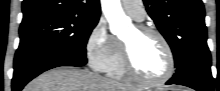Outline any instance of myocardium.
I'll return each mask as SVG.
<instances>
[{
    "instance_id": "1",
    "label": "myocardium",
    "mask_w": 220,
    "mask_h": 91,
    "mask_svg": "<svg viewBox=\"0 0 220 91\" xmlns=\"http://www.w3.org/2000/svg\"><path fill=\"white\" fill-rule=\"evenodd\" d=\"M135 29L140 35L155 36L162 43L167 54L168 67L166 72L158 78L151 79L142 76L138 72V70L136 69L133 63L130 47L127 45V43L123 41L122 42L123 65L127 76H129L131 79L135 80L140 84L148 85V86L159 85L166 82L168 79L171 78V76L175 71V55L169 41L160 31L154 28L138 25L135 27Z\"/></svg>"
}]
</instances>
